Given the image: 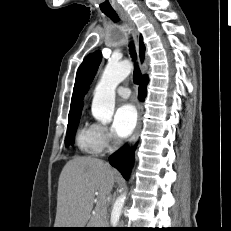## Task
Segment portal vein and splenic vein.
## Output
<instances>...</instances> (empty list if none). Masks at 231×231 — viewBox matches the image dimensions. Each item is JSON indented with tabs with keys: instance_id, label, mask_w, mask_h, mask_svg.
I'll return each instance as SVG.
<instances>
[{
	"instance_id": "portal-vein-and-splenic-vein-1",
	"label": "portal vein and splenic vein",
	"mask_w": 231,
	"mask_h": 231,
	"mask_svg": "<svg viewBox=\"0 0 231 231\" xmlns=\"http://www.w3.org/2000/svg\"><path fill=\"white\" fill-rule=\"evenodd\" d=\"M105 203V200L103 199V200H98V202H97V204H98V206H100V205H102V204H104Z\"/></svg>"
}]
</instances>
